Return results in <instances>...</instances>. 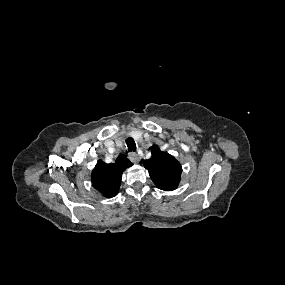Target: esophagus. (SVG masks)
<instances>
[{"label": "esophagus", "instance_id": "obj_1", "mask_svg": "<svg viewBox=\"0 0 285 285\" xmlns=\"http://www.w3.org/2000/svg\"><path fill=\"white\" fill-rule=\"evenodd\" d=\"M129 160L133 163L138 161V155L135 152L129 153Z\"/></svg>", "mask_w": 285, "mask_h": 285}]
</instances>
